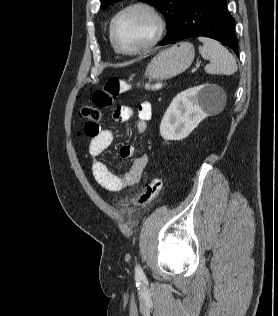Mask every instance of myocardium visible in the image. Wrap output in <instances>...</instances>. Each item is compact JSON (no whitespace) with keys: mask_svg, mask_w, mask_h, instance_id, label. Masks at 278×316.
Segmentation results:
<instances>
[{"mask_svg":"<svg viewBox=\"0 0 278 316\" xmlns=\"http://www.w3.org/2000/svg\"><path fill=\"white\" fill-rule=\"evenodd\" d=\"M135 10H141L147 13L153 20L154 22V33L152 37L143 45L132 49V50H125L121 48L115 38V26L117 21L126 13L135 11ZM165 31V21L162 17V15L159 13V11L150 3L145 2V1H135L132 2L123 8H121L112 18L110 22V27H109V37L112 46L114 49L123 55L127 56H134L141 54L149 49H151L153 46H155L160 39L162 38L163 34Z\"/></svg>","mask_w":278,"mask_h":316,"instance_id":"obj_1","label":"myocardium"}]
</instances>
